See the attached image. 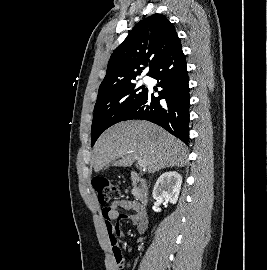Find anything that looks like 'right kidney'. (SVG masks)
Masks as SVG:
<instances>
[{
    "instance_id": "ca27d5eb",
    "label": "right kidney",
    "mask_w": 267,
    "mask_h": 270,
    "mask_svg": "<svg viewBox=\"0 0 267 270\" xmlns=\"http://www.w3.org/2000/svg\"><path fill=\"white\" fill-rule=\"evenodd\" d=\"M182 184V176L176 171L162 174L153 189V198L159 202L165 200L176 204Z\"/></svg>"
}]
</instances>
